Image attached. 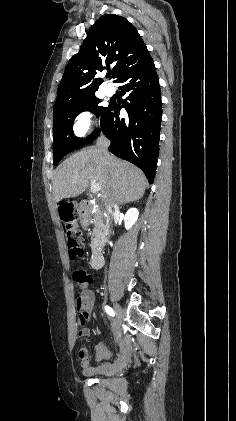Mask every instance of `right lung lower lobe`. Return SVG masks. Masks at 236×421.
<instances>
[{
    "label": "right lung lower lobe",
    "instance_id": "obj_1",
    "mask_svg": "<svg viewBox=\"0 0 236 421\" xmlns=\"http://www.w3.org/2000/svg\"><path fill=\"white\" fill-rule=\"evenodd\" d=\"M116 83L121 84L122 95L127 96L122 107L127 110L128 117L121 118V106L111 102L101 128L83 146L91 143L102 131L111 141L108 150L138 166L152 184L159 155L162 106L158 77L150 54L122 72Z\"/></svg>",
    "mask_w": 236,
    "mask_h": 421
}]
</instances>
